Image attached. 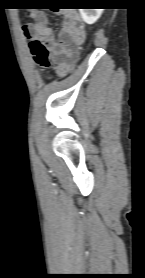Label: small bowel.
<instances>
[{
	"instance_id": "c3829d8e",
	"label": "small bowel",
	"mask_w": 145,
	"mask_h": 278,
	"mask_svg": "<svg viewBox=\"0 0 145 278\" xmlns=\"http://www.w3.org/2000/svg\"><path fill=\"white\" fill-rule=\"evenodd\" d=\"M25 36L39 35L52 57V70L62 75L78 57V49L85 40V29L75 13L65 15L60 31L55 34L48 26L43 13L34 17V21L22 27Z\"/></svg>"
}]
</instances>
